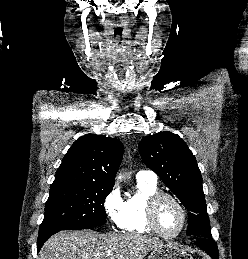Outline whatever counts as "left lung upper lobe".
Returning a JSON list of instances; mask_svg holds the SVG:
<instances>
[{"instance_id": "1", "label": "left lung upper lobe", "mask_w": 248, "mask_h": 259, "mask_svg": "<svg viewBox=\"0 0 248 259\" xmlns=\"http://www.w3.org/2000/svg\"><path fill=\"white\" fill-rule=\"evenodd\" d=\"M144 163L169 187L189 211L187 235L211 238L202 176L186 143L169 131L145 136L139 143Z\"/></svg>"}]
</instances>
